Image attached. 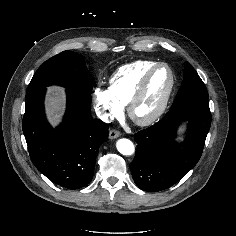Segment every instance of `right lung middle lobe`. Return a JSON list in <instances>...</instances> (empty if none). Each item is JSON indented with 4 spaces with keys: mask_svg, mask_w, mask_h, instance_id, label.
Returning <instances> with one entry per match:
<instances>
[{
    "mask_svg": "<svg viewBox=\"0 0 236 236\" xmlns=\"http://www.w3.org/2000/svg\"><path fill=\"white\" fill-rule=\"evenodd\" d=\"M51 85L90 93L93 84L83 56L71 51L53 56L36 71L27 91Z\"/></svg>",
    "mask_w": 236,
    "mask_h": 236,
    "instance_id": "right-lung-middle-lobe-1",
    "label": "right lung middle lobe"
}]
</instances>
